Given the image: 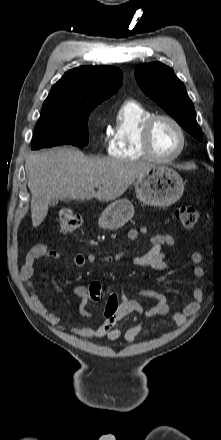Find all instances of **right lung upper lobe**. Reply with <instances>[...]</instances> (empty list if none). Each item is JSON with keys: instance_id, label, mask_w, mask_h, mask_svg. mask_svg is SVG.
I'll list each match as a JSON object with an SVG mask.
<instances>
[{"instance_id": "right-lung-upper-lobe-1", "label": "right lung upper lobe", "mask_w": 221, "mask_h": 440, "mask_svg": "<svg viewBox=\"0 0 221 440\" xmlns=\"http://www.w3.org/2000/svg\"><path fill=\"white\" fill-rule=\"evenodd\" d=\"M120 69L110 66H81L67 71L52 87L45 102L98 105L122 85Z\"/></svg>"}]
</instances>
